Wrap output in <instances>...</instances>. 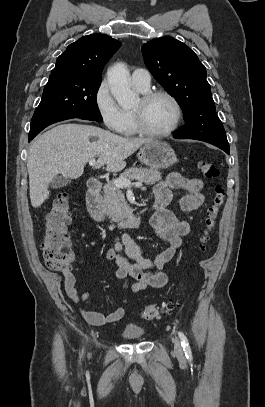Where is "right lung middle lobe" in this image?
<instances>
[{
    "label": "right lung middle lobe",
    "instance_id": "right-lung-middle-lobe-1",
    "mask_svg": "<svg viewBox=\"0 0 265 407\" xmlns=\"http://www.w3.org/2000/svg\"><path fill=\"white\" fill-rule=\"evenodd\" d=\"M101 80L66 74L49 77L41 102L31 120L29 136L35 137L45 127L70 118L101 122L96 95Z\"/></svg>",
    "mask_w": 265,
    "mask_h": 407
}]
</instances>
